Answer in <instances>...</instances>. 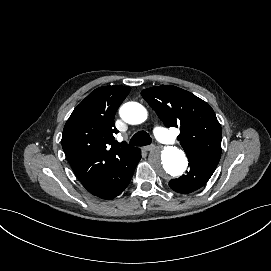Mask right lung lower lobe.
Masks as SVG:
<instances>
[{
    "label": "right lung lower lobe",
    "mask_w": 271,
    "mask_h": 271,
    "mask_svg": "<svg viewBox=\"0 0 271 271\" xmlns=\"http://www.w3.org/2000/svg\"><path fill=\"white\" fill-rule=\"evenodd\" d=\"M140 159L141 150L137 148L127 159L111 165L93 184L85 188L102 199L115 198L128 186Z\"/></svg>",
    "instance_id": "right-lung-lower-lobe-1"
}]
</instances>
